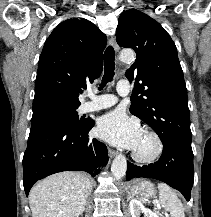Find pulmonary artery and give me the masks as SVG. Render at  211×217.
Segmentation results:
<instances>
[{
    "label": "pulmonary artery",
    "instance_id": "1",
    "mask_svg": "<svg viewBox=\"0 0 211 217\" xmlns=\"http://www.w3.org/2000/svg\"><path fill=\"white\" fill-rule=\"evenodd\" d=\"M116 90L120 96H127L130 93L129 81L125 79L119 80L116 86ZM88 97L90 98V101L82 104V112H92L101 109H106L115 105L117 102V97L112 94L95 96L92 93H88Z\"/></svg>",
    "mask_w": 211,
    "mask_h": 217
}]
</instances>
